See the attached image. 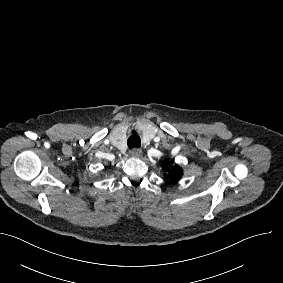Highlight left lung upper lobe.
Instances as JSON below:
<instances>
[{"label":"left lung upper lobe","instance_id":"left-lung-upper-lobe-1","mask_svg":"<svg viewBox=\"0 0 283 283\" xmlns=\"http://www.w3.org/2000/svg\"><path fill=\"white\" fill-rule=\"evenodd\" d=\"M163 170L165 171L164 177H166L170 183H176L179 181L183 175L182 168L178 165H173L171 162H165L163 165Z\"/></svg>","mask_w":283,"mask_h":283}]
</instances>
